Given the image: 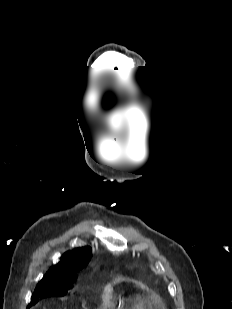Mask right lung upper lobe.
<instances>
[{
    "mask_svg": "<svg viewBox=\"0 0 232 309\" xmlns=\"http://www.w3.org/2000/svg\"><path fill=\"white\" fill-rule=\"evenodd\" d=\"M91 256L92 249L89 246L66 252L60 258V262L53 266L40 282H73L77 278L76 272L89 263Z\"/></svg>",
    "mask_w": 232,
    "mask_h": 309,
    "instance_id": "1",
    "label": "right lung upper lobe"
}]
</instances>
